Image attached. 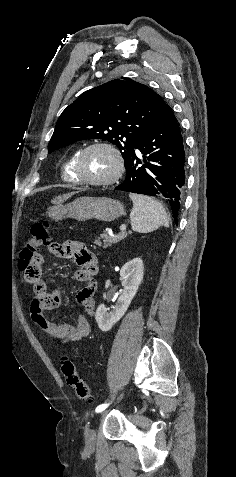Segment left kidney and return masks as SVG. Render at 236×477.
Masks as SVG:
<instances>
[{"label":"left kidney","instance_id":"5707ae66","mask_svg":"<svg viewBox=\"0 0 236 477\" xmlns=\"http://www.w3.org/2000/svg\"><path fill=\"white\" fill-rule=\"evenodd\" d=\"M143 274V261L141 258H134L121 268L120 276L123 292L119 296L115 307L108 312L105 305L101 304L96 310L95 319L101 331H109L125 314L138 291Z\"/></svg>","mask_w":236,"mask_h":477}]
</instances>
